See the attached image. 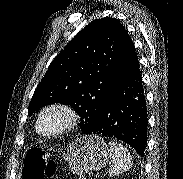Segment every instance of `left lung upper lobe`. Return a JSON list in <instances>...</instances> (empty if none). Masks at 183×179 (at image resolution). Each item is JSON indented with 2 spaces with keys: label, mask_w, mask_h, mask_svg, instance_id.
Wrapping results in <instances>:
<instances>
[{
  "label": "left lung upper lobe",
  "mask_w": 183,
  "mask_h": 179,
  "mask_svg": "<svg viewBox=\"0 0 183 179\" xmlns=\"http://www.w3.org/2000/svg\"><path fill=\"white\" fill-rule=\"evenodd\" d=\"M129 35L114 18L93 20L54 58L38 84L28 115L42 106L71 105L88 134L96 125L111 93Z\"/></svg>",
  "instance_id": "obj_1"
}]
</instances>
